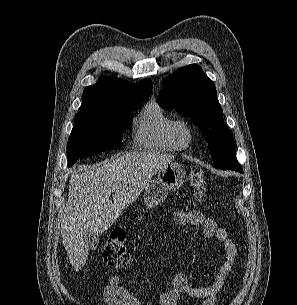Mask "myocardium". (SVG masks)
<instances>
[{
  "instance_id": "myocardium-1",
  "label": "myocardium",
  "mask_w": 297,
  "mask_h": 305,
  "mask_svg": "<svg viewBox=\"0 0 297 305\" xmlns=\"http://www.w3.org/2000/svg\"><path fill=\"white\" fill-rule=\"evenodd\" d=\"M171 135L180 149L187 148L193 139V127L187 120L176 119L171 125Z\"/></svg>"
}]
</instances>
